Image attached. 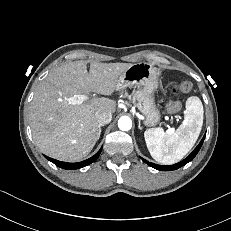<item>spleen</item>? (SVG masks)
<instances>
[{"instance_id":"3e777b00","label":"spleen","mask_w":231,"mask_h":231,"mask_svg":"<svg viewBox=\"0 0 231 231\" xmlns=\"http://www.w3.org/2000/svg\"><path fill=\"white\" fill-rule=\"evenodd\" d=\"M203 105L197 96L186 101L184 121L176 131L164 132L162 128L144 132L147 148L154 160L171 165L180 161L194 146L203 124Z\"/></svg>"}]
</instances>
